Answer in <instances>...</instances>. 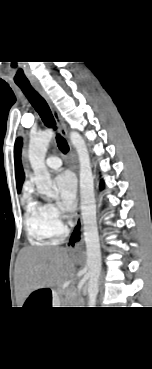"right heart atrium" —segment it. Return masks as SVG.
<instances>
[{
  "instance_id": "d8ad5b80",
  "label": "right heart atrium",
  "mask_w": 152,
  "mask_h": 369,
  "mask_svg": "<svg viewBox=\"0 0 152 369\" xmlns=\"http://www.w3.org/2000/svg\"><path fill=\"white\" fill-rule=\"evenodd\" d=\"M47 213L50 218L51 223L58 231L65 230L63 224V213L61 210L54 204L46 205Z\"/></svg>"
}]
</instances>
